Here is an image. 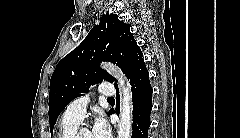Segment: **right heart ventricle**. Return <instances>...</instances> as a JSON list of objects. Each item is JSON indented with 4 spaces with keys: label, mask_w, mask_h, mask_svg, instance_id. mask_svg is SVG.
<instances>
[{
    "label": "right heart ventricle",
    "mask_w": 240,
    "mask_h": 138,
    "mask_svg": "<svg viewBox=\"0 0 240 138\" xmlns=\"http://www.w3.org/2000/svg\"><path fill=\"white\" fill-rule=\"evenodd\" d=\"M81 120L64 115L59 124L57 138H72Z\"/></svg>",
    "instance_id": "1"
}]
</instances>
